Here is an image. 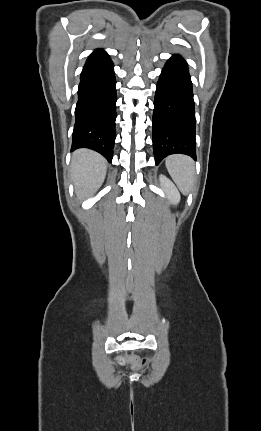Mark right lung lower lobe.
I'll use <instances>...</instances> for the list:
<instances>
[{
    "instance_id": "98d812e1",
    "label": "right lung lower lobe",
    "mask_w": 261,
    "mask_h": 431,
    "mask_svg": "<svg viewBox=\"0 0 261 431\" xmlns=\"http://www.w3.org/2000/svg\"><path fill=\"white\" fill-rule=\"evenodd\" d=\"M116 79L108 54L95 50L80 75L71 150L89 148L109 162L113 157L116 119Z\"/></svg>"
}]
</instances>
